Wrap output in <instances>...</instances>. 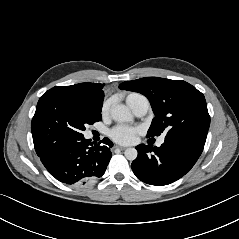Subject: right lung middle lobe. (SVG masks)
<instances>
[{"label": "right lung middle lobe", "mask_w": 239, "mask_h": 239, "mask_svg": "<svg viewBox=\"0 0 239 239\" xmlns=\"http://www.w3.org/2000/svg\"><path fill=\"white\" fill-rule=\"evenodd\" d=\"M102 101L55 86L38 101L31 131L38 151L66 135H81L87 124L101 120Z\"/></svg>", "instance_id": "right-lung-middle-lobe-1"}]
</instances>
